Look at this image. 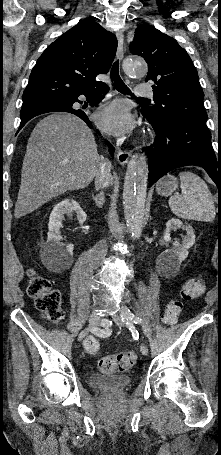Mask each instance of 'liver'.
<instances>
[{
  "instance_id": "liver-1",
  "label": "liver",
  "mask_w": 221,
  "mask_h": 455,
  "mask_svg": "<svg viewBox=\"0 0 221 455\" xmlns=\"http://www.w3.org/2000/svg\"><path fill=\"white\" fill-rule=\"evenodd\" d=\"M95 138L77 116L51 114L37 123L28 140L16 219L68 190L88 186L103 163Z\"/></svg>"
}]
</instances>
